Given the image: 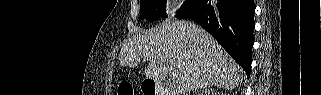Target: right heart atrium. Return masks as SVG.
I'll list each match as a JSON object with an SVG mask.
<instances>
[{"instance_id": "d8ad5b80", "label": "right heart atrium", "mask_w": 321, "mask_h": 95, "mask_svg": "<svg viewBox=\"0 0 321 95\" xmlns=\"http://www.w3.org/2000/svg\"><path fill=\"white\" fill-rule=\"evenodd\" d=\"M182 10V4L180 1H171L165 9V14L168 18L175 17Z\"/></svg>"}]
</instances>
